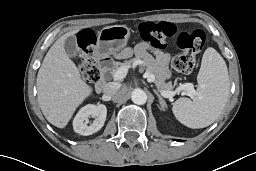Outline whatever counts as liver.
Here are the masks:
<instances>
[{
	"label": "liver",
	"mask_w": 256,
	"mask_h": 171,
	"mask_svg": "<svg viewBox=\"0 0 256 171\" xmlns=\"http://www.w3.org/2000/svg\"><path fill=\"white\" fill-rule=\"evenodd\" d=\"M78 31L64 34L51 46L37 75L39 106L47 121L58 128L66 127L76 108L93 91L64 50L65 40Z\"/></svg>",
	"instance_id": "6515ba94"
}]
</instances>
